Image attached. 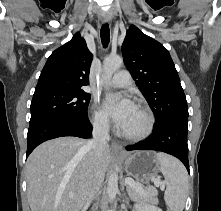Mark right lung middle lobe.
Segmentation results:
<instances>
[{
  "mask_svg": "<svg viewBox=\"0 0 221 211\" xmlns=\"http://www.w3.org/2000/svg\"><path fill=\"white\" fill-rule=\"evenodd\" d=\"M90 95L83 90L48 89L36 91L31 102L30 122L46 116L85 117Z\"/></svg>",
  "mask_w": 221,
  "mask_h": 211,
  "instance_id": "1",
  "label": "right lung middle lobe"
}]
</instances>
